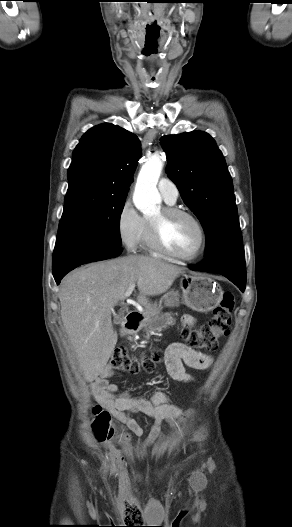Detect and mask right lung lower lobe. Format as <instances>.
Returning <instances> with one entry per match:
<instances>
[{
  "mask_svg": "<svg viewBox=\"0 0 292 527\" xmlns=\"http://www.w3.org/2000/svg\"><path fill=\"white\" fill-rule=\"evenodd\" d=\"M120 245L91 236L64 235L57 237L53 252L52 272L57 284L74 268L89 262L117 257Z\"/></svg>",
  "mask_w": 292,
  "mask_h": 527,
  "instance_id": "obj_1",
  "label": "right lung lower lobe"
}]
</instances>
